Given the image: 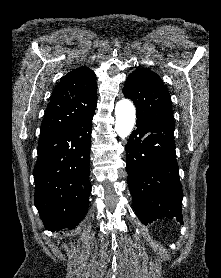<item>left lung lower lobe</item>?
I'll return each mask as SVG.
<instances>
[{
	"instance_id": "obj_1",
	"label": "left lung lower lobe",
	"mask_w": 221,
	"mask_h": 278,
	"mask_svg": "<svg viewBox=\"0 0 221 278\" xmlns=\"http://www.w3.org/2000/svg\"><path fill=\"white\" fill-rule=\"evenodd\" d=\"M136 127L126 145L127 182L135 212L143 224L163 217L183 224L174 121L137 119Z\"/></svg>"
}]
</instances>
